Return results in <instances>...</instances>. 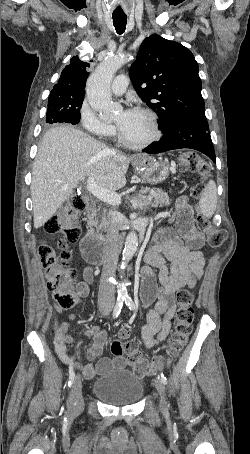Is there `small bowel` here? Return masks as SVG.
I'll list each match as a JSON object with an SVG mask.
<instances>
[{
	"mask_svg": "<svg viewBox=\"0 0 250 454\" xmlns=\"http://www.w3.org/2000/svg\"><path fill=\"white\" fill-rule=\"evenodd\" d=\"M177 231L167 228L155 235L145 253L146 265L142 267L141 301L143 308L154 307L148 312L147 323L142 328V340L147 348L163 342L171 330V321L176 311L174 294L184 286L193 287L204 269V258L200 251L204 244V236L194 226L190 205L184 197L176 202ZM168 263V264H167ZM157 268L158 278L152 268ZM94 274L91 267L84 271L83 280L76 286V297L80 303L90 292ZM55 351L60 360L77 368L86 379H94L105 374L113 366H123L122 358L114 362L109 358H101L94 363L103 351L107 340L105 331L97 326L86 329L85 335L93 337V343L87 351L88 362L79 364L71 360L68 345L73 341L67 321L53 322Z\"/></svg>",
	"mask_w": 250,
	"mask_h": 454,
	"instance_id": "obj_1",
	"label": "small bowel"
}]
</instances>
